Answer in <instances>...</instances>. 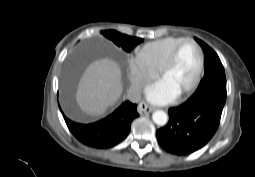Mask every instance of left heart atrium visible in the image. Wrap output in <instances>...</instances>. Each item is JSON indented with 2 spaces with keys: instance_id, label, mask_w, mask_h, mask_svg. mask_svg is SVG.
<instances>
[{
  "instance_id": "1",
  "label": "left heart atrium",
  "mask_w": 255,
  "mask_h": 177,
  "mask_svg": "<svg viewBox=\"0 0 255 177\" xmlns=\"http://www.w3.org/2000/svg\"><path fill=\"white\" fill-rule=\"evenodd\" d=\"M177 94L176 90L164 79L157 81L146 91L147 99L155 104L168 103L172 101Z\"/></svg>"
}]
</instances>
